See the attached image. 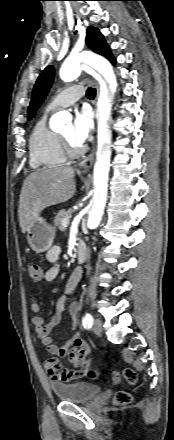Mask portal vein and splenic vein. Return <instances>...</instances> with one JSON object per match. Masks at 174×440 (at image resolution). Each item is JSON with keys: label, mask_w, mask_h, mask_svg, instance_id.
<instances>
[{"label": "portal vein and splenic vein", "mask_w": 174, "mask_h": 440, "mask_svg": "<svg viewBox=\"0 0 174 440\" xmlns=\"http://www.w3.org/2000/svg\"><path fill=\"white\" fill-rule=\"evenodd\" d=\"M69 225V219L62 220V226L67 227Z\"/></svg>", "instance_id": "18ae733b"}]
</instances>
